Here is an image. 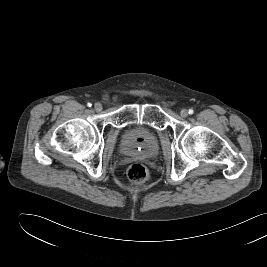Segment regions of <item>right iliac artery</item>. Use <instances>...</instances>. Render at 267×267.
<instances>
[{
	"mask_svg": "<svg viewBox=\"0 0 267 267\" xmlns=\"http://www.w3.org/2000/svg\"><path fill=\"white\" fill-rule=\"evenodd\" d=\"M91 105H92V104H91L90 102L87 103V106H88V107H91Z\"/></svg>",
	"mask_w": 267,
	"mask_h": 267,
	"instance_id": "82829eb1",
	"label": "right iliac artery"
}]
</instances>
